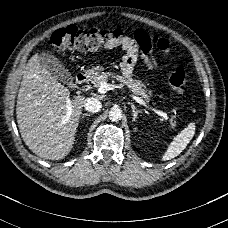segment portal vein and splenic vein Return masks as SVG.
Segmentation results:
<instances>
[{"mask_svg":"<svg viewBox=\"0 0 228 228\" xmlns=\"http://www.w3.org/2000/svg\"><path fill=\"white\" fill-rule=\"evenodd\" d=\"M115 89H122L125 93H127L130 97H132L134 101H136L138 103H142V100L140 98H138L137 96L133 95L132 93H129L122 84L117 85V84L102 83V84L99 85V87L97 89V93L99 95H102V94H105L108 91L115 90ZM182 109H183L182 105H177L176 107L173 108L172 111L169 112V115L173 116V115L176 114V112L178 110H182ZM71 111H72V109L68 108V112L66 114V117H69L71 115ZM155 112H156V114H158V116H160L164 120L165 125L163 126V132L167 133L168 132V128L170 126V121L168 120V114L165 113L164 111H162L159 108L156 109Z\"/></svg>","mask_w":228,"mask_h":228,"instance_id":"1","label":"portal vein and splenic vein"}]
</instances>
